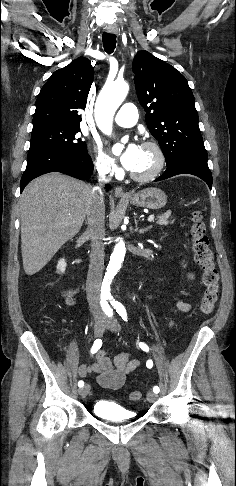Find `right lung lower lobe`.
I'll list each match as a JSON object with an SVG mask.
<instances>
[{"label":"right lung lower lobe","mask_w":236,"mask_h":486,"mask_svg":"<svg viewBox=\"0 0 236 486\" xmlns=\"http://www.w3.org/2000/svg\"><path fill=\"white\" fill-rule=\"evenodd\" d=\"M49 172H61L86 180L93 172V162L87 152L48 149L29 151L26 170L20 182L21 192L31 180ZM107 187L110 188V185Z\"/></svg>","instance_id":"98d812e1"}]
</instances>
